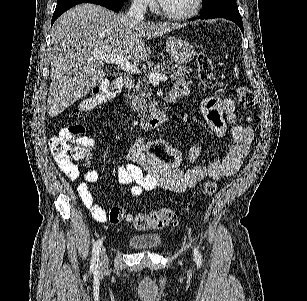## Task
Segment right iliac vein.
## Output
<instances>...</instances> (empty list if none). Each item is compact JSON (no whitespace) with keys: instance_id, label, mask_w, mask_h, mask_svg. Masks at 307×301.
<instances>
[{"instance_id":"right-iliac-vein-1","label":"right iliac vein","mask_w":307,"mask_h":301,"mask_svg":"<svg viewBox=\"0 0 307 301\" xmlns=\"http://www.w3.org/2000/svg\"><path fill=\"white\" fill-rule=\"evenodd\" d=\"M108 266V257L106 254V249L102 248L100 250V254H99V264L98 267L101 271L105 270L106 267Z\"/></svg>"}]
</instances>
